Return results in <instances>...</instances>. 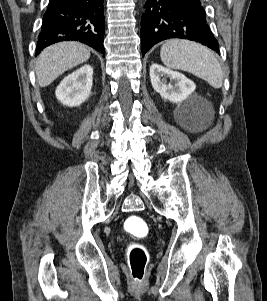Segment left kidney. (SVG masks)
<instances>
[{
  "instance_id": "obj_1",
  "label": "left kidney",
  "mask_w": 267,
  "mask_h": 301,
  "mask_svg": "<svg viewBox=\"0 0 267 301\" xmlns=\"http://www.w3.org/2000/svg\"><path fill=\"white\" fill-rule=\"evenodd\" d=\"M170 83H167V79ZM150 79L153 89L161 97L172 103H178L191 95L196 88L193 81L182 73L172 71L159 64H152L150 67Z\"/></svg>"
}]
</instances>
